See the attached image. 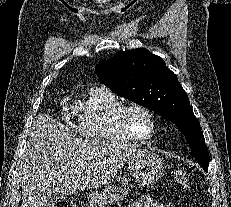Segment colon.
<instances>
[{
    "label": "colon",
    "mask_w": 231,
    "mask_h": 207,
    "mask_svg": "<svg viewBox=\"0 0 231 207\" xmlns=\"http://www.w3.org/2000/svg\"><path fill=\"white\" fill-rule=\"evenodd\" d=\"M173 179L175 184L180 188H189L191 179L190 175L183 171L178 170L173 173ZM48 207H76L74 200L72 199H64L53 204H50Z\"/></svg>",
    "instance_id": "5ec220e1"
}]
</instances>
